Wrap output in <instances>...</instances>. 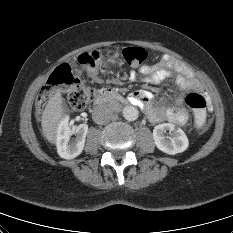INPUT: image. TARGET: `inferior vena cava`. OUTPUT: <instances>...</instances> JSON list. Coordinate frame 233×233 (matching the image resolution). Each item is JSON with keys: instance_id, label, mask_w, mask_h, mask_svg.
Here are the masks:
<instances>
[{"instance_id": "1", "label": "inferior vena cava", "mask_w": 233, "mask_h": 233, "mask_svg": "<svg viewBox=\"0 0 233 233\" xmlns=\"http://www.w3.org/2000/svg\"><path fill=\"white\" fill-rule=\"evenodd\" d=\"M113 111L107 104H100L93 109L92 118L96 124L104 125L110 122Z\"/></svg>"}]
</instances>
